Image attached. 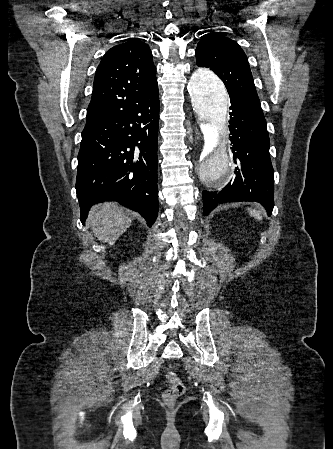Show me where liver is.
<instances>
[{
    "label": "liver",
    "mask_w": 333,
    "mask_h": 449,
    "mask_svg": "<svg viewBox=\"0 0 333 449\" xmlns=\"http://www.w3.org/2000/svg\"><path fill=\"white\" fill-rule=\"evenodd\" d=\"M88 221L99 240L113 245L129 228L132 218L118 203L110 202L93 206Z\"/></svg>",
    "instance_id": "1"
}]
</instances>
